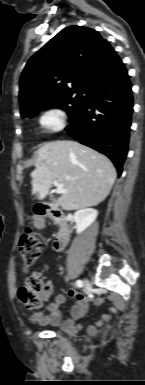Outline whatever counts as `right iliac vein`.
<instances>
[{
  "label": "right iliac vein",
  "mask_w": 145,
  "mask_h": 385,
  "mask_svg": "<svg viewBox=\"0 0 145 385\" xmlns=\"http://www.w3.org/2000/svg\"><path fill=\"white\" fill-rule=\"evenodd\" d=\"M83 288H84V291L87 293L90 288H91V285H90V282L87 280V279H84L83 281Z\"/></svg>",
  "instance_id": "right-iliac-vein-1"
}]
</instances>
